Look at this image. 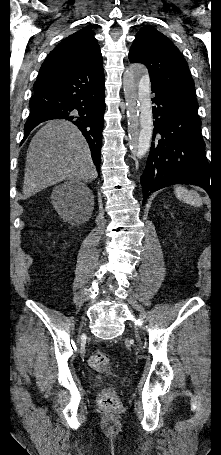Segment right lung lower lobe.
<instances>
[{
	"label": "right lung lower lobe",
	"mask_w": 221,
	"mask_h": 455,
	"mask_svg": "<svg viewBox=\"0 0 221 455\" xmlns=\"http://www.w3.org/2000/svg\"><path fill=\"white\" fill-rule=\"evenodd\" d=\"M104 100L102 59L63 72L34 89L24 139L41 122L51 119L71 121L86 138L93 162L100 172Z\"/></svg>",
	"instance_id": "98d812e1"
}]
</instances>
